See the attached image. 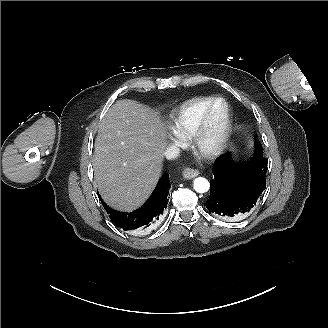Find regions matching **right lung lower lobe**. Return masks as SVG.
Returning <instances> with one entry per match:
<instances>
[{
  "label": "right lung lower lobe",
  "instance_id": "right-lung-lower-lobe-1",
  "mask_svg": "<svg viewBox=\"0 0 328 328\" xmlns=\"http://www.w3.org/2000/svg\"><path fill=\"white\" fill-rule=\"evenodd\" d=\"M169 175H163L155 190L153 191L147 202L139 209L126 213L113 210L108 207L102 200L103 206L113 223L124 231L146 229L151 223L159 220L167 207L168 193H169Z\"/></svg>",
  "mask_w": 328,
  "mask_h": 328
}]
</instances>
